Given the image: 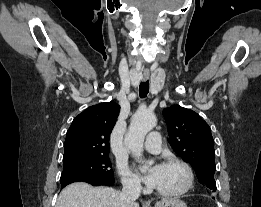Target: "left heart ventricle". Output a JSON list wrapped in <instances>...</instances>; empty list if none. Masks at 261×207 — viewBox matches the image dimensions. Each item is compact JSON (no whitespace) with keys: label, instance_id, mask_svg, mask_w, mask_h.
<instances>
[{"label":"left heart ventricle","instance_id":"b2bd125f","mask_svg":"<svg viewBox=\"0 0 261 207\" xmlns=\"http://www.w3.org/2000/svg\"><path fill=\"white\" fill-rule=\"evenodd\" d=\"M186 180L184 170L177 165H161L155 188L163 191L180 189Z\"/></svg>","mask_w":261,"mask_h":207}]
</instances>
